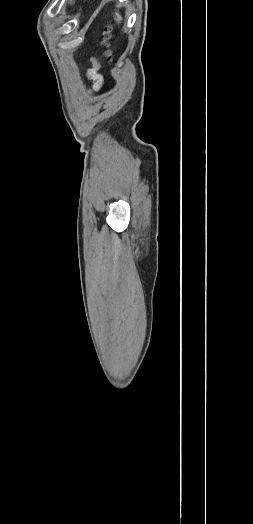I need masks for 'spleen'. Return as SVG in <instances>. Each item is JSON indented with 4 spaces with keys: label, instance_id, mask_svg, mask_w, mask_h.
I'll return each mask as SVG.
<instances>
[{
    "label": "spleen",
    "instance_id": "3e777b00",
    "mask_svg": "<svg viewBox=\"0 0 253 524\" xmlns=\"http://www.w3.org/2000/svg\"><path fill=\"white\" fill-rule=\"evenodd\" d=\"M116 15H117V20L120 21L122 19L121 16L118 13Z\"/></svg>",
    "mask_w": 253,
    "mask_h": 524
}]
</instances>
